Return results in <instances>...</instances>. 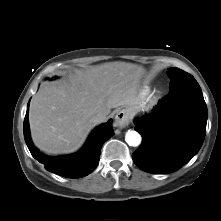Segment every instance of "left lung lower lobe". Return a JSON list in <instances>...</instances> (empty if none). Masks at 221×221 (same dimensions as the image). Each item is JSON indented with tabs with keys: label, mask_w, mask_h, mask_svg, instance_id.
<instances>
[{
	"label": "left lung lower lobe",
	"mask_w": 221,
	"mask_h": 221,
	"mask_svg": "<svg viewBox=\"0 0 221 221\" xmlns=\"http://www.w3.org/2000/svg\"><path fill=\"white\" fill-rule=\"evenodd\" d=\"M207 106L196 80L170 89L150 114L134 120L142 143L132 154L143 171L178 170L200 150L206 133Z\"/></svg>",
	"instance_id": "1"
}]
</instances>
